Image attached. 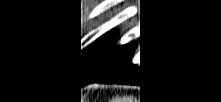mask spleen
<instances>
[{"instance_id":"spleen-1","label":"spleen","mask_w":221,"mask_h":102,"mask_svg":"<svg viewBox=\"0 0 221 102\" xmlns=\"http://www.w3.org/2000/svg\"><path fill=\"white\" fill-rule=\"evenodd\" d=\"M131 100L132 98L117 96L113 99V102H131Z\"/></svg>"}]
</instances>
